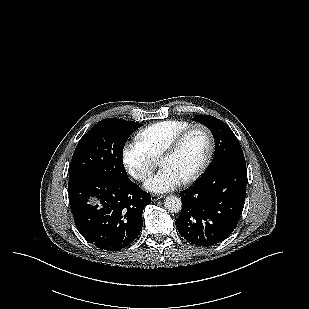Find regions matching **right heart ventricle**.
I'll list each match as a JSON object with an SVG mask.
<instances>
[{
  "label": "right heart ventricle",
  "mask_w": 309,
  "mask_h": 309,
  "mask_svg": "<svg viewBox=\"0 0 309 309\" xmlns=\"http://www.w3.org/2000/svg\"><path fill=\"white\" fill-rule=\"evenodd\" d=\"M190 125L188 121L176 119L156 122L138 132L137 142L158 159L171 141Z\"/></svg>",
  "instance_id": "obj_1"
}]
</instances>
